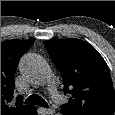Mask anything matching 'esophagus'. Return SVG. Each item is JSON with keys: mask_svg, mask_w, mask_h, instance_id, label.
<instances>
[{"mask_svg": "<svg viewBox=\"0 0 115 115\" xmlns=\"http://www.w3.org/2000/svg\"><path fill=\"white\" fill-rule=\"evenodd\" d=\"M40 113L42 114H53L54 113V110L52 109H45V108H40Z\"/></svg>", "mask_w": 115, "mask_h": 115, "instance_id": "obj_1", "label": "esophagus"}]
</instances>
